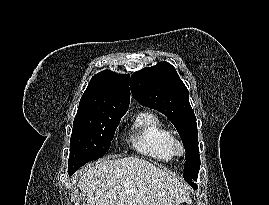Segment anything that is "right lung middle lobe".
I'll return each mask as SVG.
<instances>
[{
    "label": "right lung middle lobe",
    "instance_id": "dd1d6c3e",
    "mask_svg": "<svg viewBox=\"0 0 269 205\" xmlns=\"http://www.w3.org/2000/svg\"><path fill=\"white\" fill-rule=\"evenodd\" d=\"M122 116L76 114L70 140V175L87 162L102 157L109 150Z\"/></svg>",
    "mask_w": 269,
    "mask_h": 205
}]
</instances>
